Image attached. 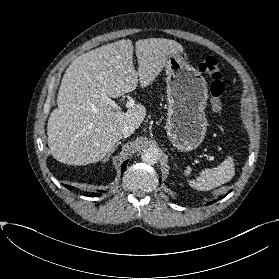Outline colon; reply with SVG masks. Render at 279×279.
<instances>
[{"label": "colon", "instance_id": "5ec220e1", "mask_svg": "<svg viewBox=\"0 0 279 279\" xmlns=\"http://www.w3.org/2000/svg\"><path fill=\"white\" fill-rule=\"evenodd\" d=\"M199 70L210 79L211 110L216 114H220L223 111L222 95L225 85L219 62L215 57H206L200 64Z\"/></svg>", "mask_w": 279, "mask_h": 279}]
</instances>
